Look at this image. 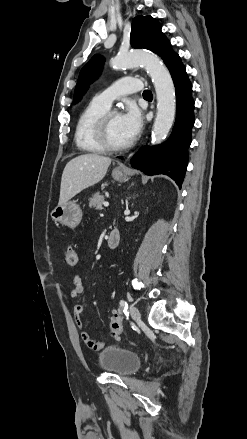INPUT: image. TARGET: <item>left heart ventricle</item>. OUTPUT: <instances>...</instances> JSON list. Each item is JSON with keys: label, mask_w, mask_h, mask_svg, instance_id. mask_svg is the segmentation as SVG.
Wrapping results in <instances>:
<instances>
[{"label": "left heart ventricle", "mask_w": 247, "mask_h": 439, "mask_svg": "<svg viewBox=\"0 0 247 439\" xmlns=\"http://www.w3.org/2000/svg\"><path fill=\"white\" fill-rule=\"evenodd\" d=\"M109 135L111 142L115 145H121L130 141L122 128L121 118L118 113H114L110 117Z\"/></svg>", "instance_id": "left-heart-ventricle-1"}]
</instances>
